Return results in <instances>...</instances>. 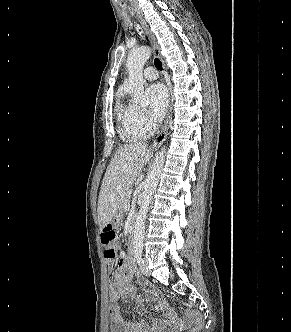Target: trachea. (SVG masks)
<instances>
[{
	"label": "trachea",
	"instance_id": "1",
	"mask_svg": "<svg viewBox=\"0 0 291 332\" xmlns=\"http://www.w3.org/2000/svg\"><path fill=\"white\" fill-rule=\"evenodd\" d=\"M154 64L158 70H162V63L158 58H155Z\"/></svg>",
	"mask_w": 291,
	"mask_h": 332
}]
</instances>
